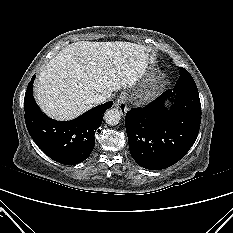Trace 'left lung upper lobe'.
Wrapping results in <instances>:
<instances>
[{"instance_id":"left-lung-upper-lobe-1","label":"left lung upper lobe","mask_w":233,"mask_h":233,"mask_svg":"<svg viewBox=\"0 0 233 233\" xmlns=\"http://www.w3.org/2000/svg\"><path fill=\"white\" fill-rule=\"evenodd\" d=\"M184 88H197L195 81L193 80L190 73L183 67H180V76L176 85L174 86V90L179 91Z\"/></svg>"}]
</instances>
